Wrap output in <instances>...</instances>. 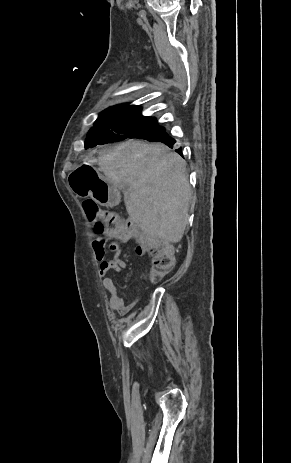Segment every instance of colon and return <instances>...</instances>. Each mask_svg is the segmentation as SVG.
Masks as SVG:
<instances>
[{
  "mask_svg": "<svg viewBox=\"0 0 291 463\" xmlns=\"http://www.w3.org/2000/svg\"><path fill=\"white\" fill-rule=\"evenodd\" d=\"M84 211L91 221L93 233L97 239L115 237L124 240H134L137 246L151 257L154 274L162 276L172 270L175 264L173 248L161 242L145 231L131 219H124L117 213L103 210L93 199L83 202Z\"/></svg>",
  "mask_w": 291,
  "mask_h": 463,
  "instance_id": "5ec220e1",
  "label": "colon"
}]
</instances>
